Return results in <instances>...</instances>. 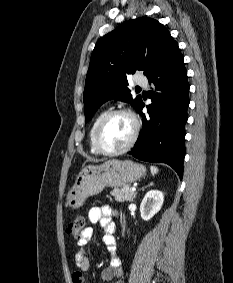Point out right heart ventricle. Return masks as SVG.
Masks as SVG:
<instances>
[{
    "instance_id": "e07e8e85",
    "label": "right heart ventricle",
    "mask_w": 233,
    "mask_h": 283,
    "mask_svg": "<svg viewBox=\"0 0 233 283\" xmlns=\"http://www.w3.org/2000/svg\"><path fill=\"white\" fill-rule=\"evenodd\" d=\"M107 113L106 110L101 111L100 113H98L96 115V117L94 118L90 130H89V147H90V152L93 155H99L100 153L97 151V149L95 148L94 145V133L96 130V127L98 125V123L101 121V119L104 117V115Z\"/></svg>"
}]
</instances>
